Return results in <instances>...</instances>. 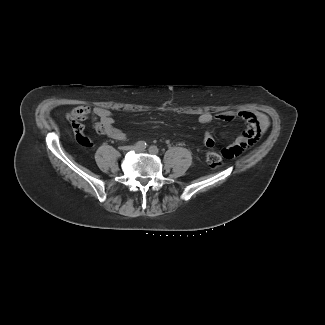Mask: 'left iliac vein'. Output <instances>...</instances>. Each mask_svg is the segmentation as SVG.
Masks as SVG:
<instances>
[{"label": "left iliac vein", "instance_id": "obj_1", "mask_svg": "<svg viewBox=\"0 0 325 325\" xmlns=\"http://www.w3.org/2000/svg\"><path fill=\"white\" fill-rule=\"evenodd\" d=\"M135 151H137V152H144L145 150L144 149L136 148Z\"/></svg>", "mask_w": 325, "mask_h": 325}]
</instances>
